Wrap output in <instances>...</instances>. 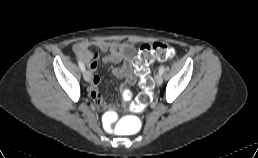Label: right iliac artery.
<instances>
[{
	"mask_svg": "<svg viewBox=\"0 0 258 158\" xmlns=\"http://www.w3.org/2000/svg\"><path fill=\"white\" fill-rule=\"evenodd\" d=\"M78 65H79V67H80V69H81L82 71L85 70V66H84V64H83L82 61L78 60Z\"/></svg>",
	"mask_w": 258,
	"mask_h": 158,
	"instance_id": "right-iliac-artery-1",
	"label": "right iliac artery"
}]
</instances>
